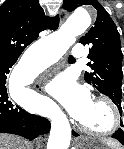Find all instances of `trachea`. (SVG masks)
Returning <instances> with one entry per match:
<instances>
[{"instance_id": "1", "label": "trachea", "mask_w": 124, "mask_h": 149, "mask_svg": "<svg viewBox=\"0 0 124 149\" xmlns=\"http://www.w3.org/2000/svg\"><path fill=\"white\" fill-rule=\"evenodd\" d=\"M68 60L70 61V60H75V59L73 56L70 55Z\"/></svg>"}]
</instances>
